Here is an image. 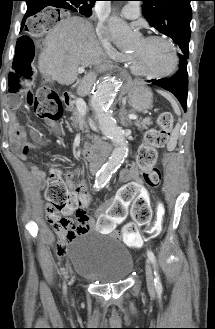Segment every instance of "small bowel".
<instances>
[{
    "mask_svg": "<svg viewBox=\"0 0 215 329\" xmlns=\"http://www.w3.org/2000/svg\"><path fill=\"white\" fill-rule=\"evenodd\" d=\"M50 126L54 131H58L54 123H50ZM10 135L13 139L14 150L21 159H26L31 150L35 148V143L27 140L25 128L14 120L10 123ZM34 136L38 141L46 140L37 131L34 132ZM31 172L39 180L45 177L44 172L37 167H31ZM75 175L76 173L73 171L65 175V179L71 188L74 187L73 179ZM119 179L122 183H125V187H119L118 192H115V195L110 200L96 210L98 219H106L98 222L97 230L99 236H108L109 232H115L116 227H123V219L126 218V215L127 218H152V206H149V201H147V199H150L151 188L143 185L137 168L132 166L122 170L119 174ZM46 216L51 225L58 222L61 218V215L52 211L49 205L46 206ZM95 227V220L86 213L83 214L78 219H75V227L68 232L66 240L61 243L58 239L55 252L59 256L65 255L69 244L80 233L92 231ZM123 240L127 245L134 248H140L145 242L140 238L127 240L124 236Z\"/></svg>",
    "mask_w": 215,
    "mask_h": 329,
    "instance_id": "c3829d8e",
    "label": "small bowel"
}]
</instances>
